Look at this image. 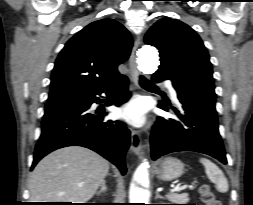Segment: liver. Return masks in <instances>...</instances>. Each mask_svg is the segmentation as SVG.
Masks as SVG:
<instances>
[{"mask_svg":"<svg viewBox=\"0 0 253 205\" xmlns=\"http://www.w3.org/2000/svg\"><path fill=\"white\" fill-rule=\"evenodd\" d=\"M108 170V161L87 148H61L44 157L30 174V198L32 202L86 203Z\"/></svg>","mask_w":253,"mask_h":205,"instance_id":"1","label":"liver"}]
</instances>
